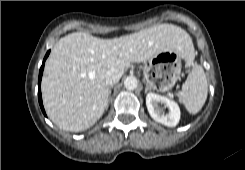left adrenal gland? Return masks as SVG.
Masks as SVG:
<instances>
[{
  "label": "left adrenal gland",
  "mask_w": 245,
  "mask_h": 170,
  "mask_svg": "<svg viewBox=\"0 0 245 170\" xmlns=\"http://www.w3.org/2000/svg\"><path fill=\"white\" fill-rule=\"evenodd\" d=\"M148 90H149V87L146 86V88H145V93H147Z\"/></svg>",
  "instance_id": "left-adrenal-gland-1"
}]
</instances>
